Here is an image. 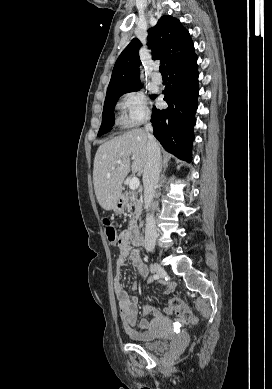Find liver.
<instances>
[{
    "label": "liver",
    "instance_id": "1",
    "mask_svg": "<svg viewBox=\"0 0 272 389\" xmlns=\"http://www.w3.org/2000/svg\"><path fill=\"white\" fill-rule=\"evenodd\" d=\"M147 133L133 129L104 142L98 148L93 169V184L98 203L112 210L122 194V184L130 171L141 176L147 161ZM117 160H122L118 164ZM132 160V163H131Z\"/></svg>",
    "mask_w": 272,
    "mask_h": 389
}]
</instances>
